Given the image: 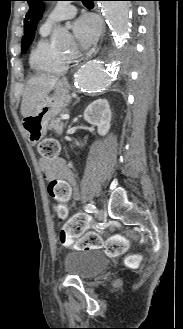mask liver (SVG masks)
I'll return each mask as SVG.
<instances>
[{
    "label": "liver",
    "instance_id": "obj_1",
    "mask_svg": "<svg viewBox=\"0 0 183 329\" xmlns=\"http://www.w3.org/2000/svg\"><path fill=\"white\" fill-rule=\"evenodd\" d=\"M58 78L46 75L32 77L28 80L23 92L21 114L27 117L37 105L48 96L56 86Z\"/></svg>",
    "mask_w": 183,
    "mask_h": 329
}]
</instances>
